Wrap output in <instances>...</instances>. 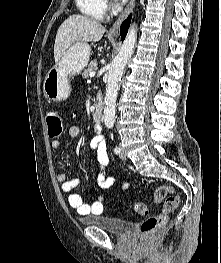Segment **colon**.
Returning a JSON list of instances; mask_svg holds the SVG:
<instances>
[{"label": "colon", "instance_id": "1", "mask_svg": "<svg viewBox=\"0 0 221 263\" xmlns=\"http://www.w3.org/2000/svg\"><path fill=\"white\" fill-rule=\"evenodd\" d=\"M46 121L49 137H59L64 129L60 112L56 109L48 110ZM153 198L156 203L164 202V204L161 213L150 216L141 223V238L148 244L164 229L168 216L178 208L180 202L179 196L168 185L157 186ZM133 209L139 215H147V207L143 202H136Z\"/></svg>", "mask_w": 221, "mask_h": 263}]
</instances>
